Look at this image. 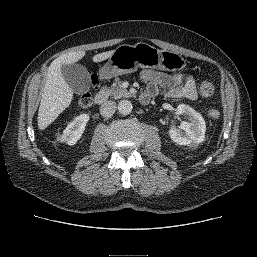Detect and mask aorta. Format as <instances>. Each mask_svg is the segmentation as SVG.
Segmentation results:
<instances>
[{
    "instance_id": "aorta-1",
    "label": "aorta",
    "mask_w": 257,
    "mask_h": 257,
    "mask_svg": "<svg viewBox=\"0 0 257 257\" xmlns=\"http://www.w3.org/2000/svg\"><path fill=\"white\" fill-rule=\"evenodd\" d=\"M133 109L132 103L129 100H121L118 104V111L123 114H129Z\"/></svg>"
}]
</instances>
